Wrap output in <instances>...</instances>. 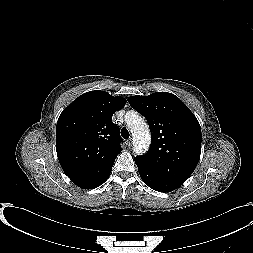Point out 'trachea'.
Wrapping results in <instances>:
<instances>
[{"label": "trachea", "instance_id": "3493384b", "mask_svg": "<svg viewBox=\"0 0 253 253\" xmlns=\"http://www.w3.org/2000/svg\"><path fill=\"white\" fill-rule=\"evenodd\" d=\"M121 136L124 138V139H128L129 138V131L126 129V128H123L121 130Z\"/></svg>", "mask_w": 253, "mask_h": 253}]
</instances>
